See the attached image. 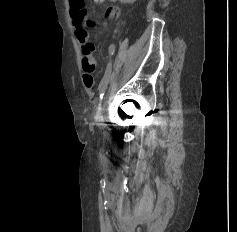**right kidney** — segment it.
I'll list each match as a JSON object with an SVG mask.
<instances>
[{"mask_svg": "<svg viewBox=\"0 0 237 232\" xmlns=\"http://www.w3.org/2000/svg\"><path fill=\"white\" fill-rule=\"evenodd\" d=\"M121 3H134L136 0H119Z\"/></svg>", "mask_w": 237, "mask_h": 232, "instance_id": "obj_1", "label": "right kidney"}]
</instances>
